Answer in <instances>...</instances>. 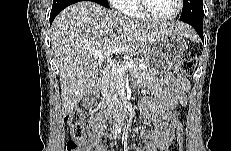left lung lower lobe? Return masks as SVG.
<instances>
[{"label":"left lung lower lobe","mask_w":231,"mask_h":151,"mask_svg":"<svg viewBox=\"0 0 231 151\" xmlns=\"http://www.w3.org/2000/svg\"><path fill=\"white\" fill-rule=\"evenodd\" d=\"M203 19L204 14L195 13L189 17L181 16L180 20L190 24L198 33L199 37L203 41Z\"/></svg>","instance_id":"left-lung-lower-lobe-1"}]
</instances>
